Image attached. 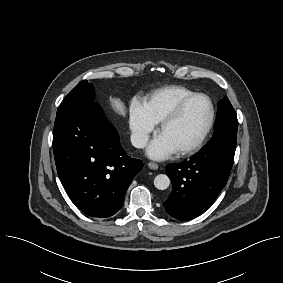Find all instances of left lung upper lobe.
<instances>
[{
    "label": "left lung upper lobe",
    "instance_id": "left-lung-upper-lobe-1",
    "mask_svg": "<svg viewBox=\"0 0 283 283\" xmlns=\"http://www.w3.org/2000/svg\"><path fill=\"white\" fill-rule=\"evenodd\" d=\"M238 120L230 101L224 98L218 103L214 134L207 144L218 145L235 152Z\"/></svg>",
    "mask_w": 283,
    "mask_h": 283
}]
</instances>
